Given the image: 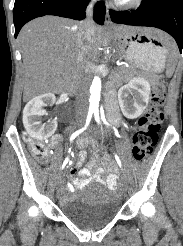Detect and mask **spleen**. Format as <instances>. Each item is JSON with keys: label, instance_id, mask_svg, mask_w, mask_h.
Masks as SVG:
<instances>
[{"label": "spleen", "instance_id": "1", "mask_svg": "<svg viewBox=\"0 0 183 246\" xmlns=\"http://www.w3.org/2000/svg\"><path fill=\"white\" fill-rule=\"evenodd\" d=\"M176 61H177V53H176V50L174 49V47L171 46L169 64H168V68L166 70V75L168 77H170L173 74Z\"/></svg>", "mask_w": 183, "mask_h": 246}]
</instances>
